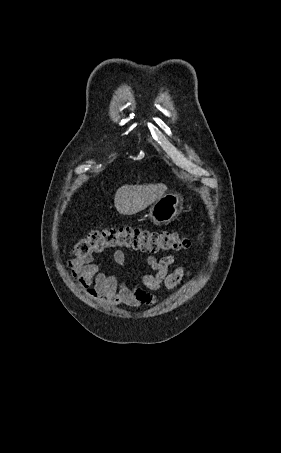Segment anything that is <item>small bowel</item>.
Segmentation results:
<instances>
[{"mask_svg": "<svg viewBox=\"0 0 281 453\" xmlns=\"http://www.w3.org/2000/svg\"><path fill=\"white\" fill-rule=\"evenodd\" d=\"M145 260L151 271L149 275H145L142 278L146 289L128 287L112 274L103 272L96 264L84 262L78 258L70 261L69 270L78 287L88 297L109 307L151 305L158 300V296L150 291L160 288L173 289L189 274L182 267L169 271L168 268L177 263V258L172 255L165 256L162 259L150 255ZM113 261L115 264L124 265L126 256L122 251L118 250L113 254Z\"/></svg>", "mask_w": 281, "mask_h": 453, "instance_id": "1", "label": "small bowel"}]
</instances>
